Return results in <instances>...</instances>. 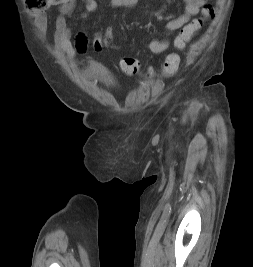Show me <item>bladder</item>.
<instances>
[{"mask_svg":"<svg viewBox=\"0 0 253 267\" xmlns=\"http://www.w3.org/2000/svg\"><path fill=\"white\" fill-rule=\"evenodd\" d=\"M87 74L92 78L108 79V72L106 69L95 62H91L86 69Z\"/></svg>","mask_w":253,"mask_h":267,"instance_id":"31cf9c89","label":"bladder"}]
</instances>
